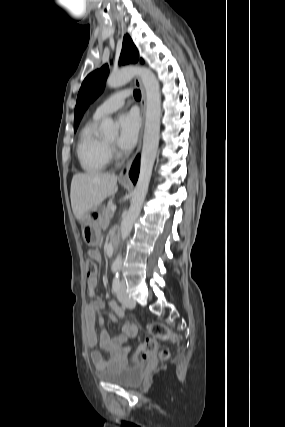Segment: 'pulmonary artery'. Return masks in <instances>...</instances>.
<instances>
[{
	"instance_id": "obj_1",
	"label": "pulmonary artery",
	"mask_w": 285,
	"mask_h": 427,
	"mask_svg": "<svg viewBox=\"0 0 285 427\" xmlns=\"http://www.w3.org/2000/svg\"><path fill=\"white\" fill-rule=\"evenodd\" d=\"M129 91H118L103 101L95 110L93 117L101 119L124 106Z\"/></svg>"
}]
</instances>
